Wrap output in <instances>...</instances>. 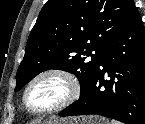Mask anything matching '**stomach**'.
<instances>
[{"instance_id": "0dacf381", "label": "stomach", "mask_w": 145, "mask_h": 124, "mask_svg": "<svg viewBox=\"0 0 145 124\" xmlns=\"http://www.w3.org/2000/svg\"><path fill=\"white\" fill-rule=\"evenodd\" d=\"M45 124H109L99 117H82V118H67L48 121Z\"/></svg>"}]
</instances>
